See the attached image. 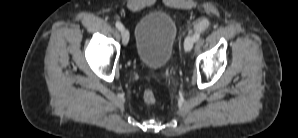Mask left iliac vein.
<instances>
[{"label": "left iliac vein", "instance_id": "obj_1", "mask_svg": "<svg viewBox=\"0 0 298 138\" xmlns=\"http://www.w3.org/2000/svg\"><path fill=\"white\" fill-rule=\"evenodd\" d=\"M194 37L193 36H189L186 38V41H185V47L186 49H191L193 44H194Z\"/></svg>", "mask_w": 298, "mask_h": 138}]
</instances>
